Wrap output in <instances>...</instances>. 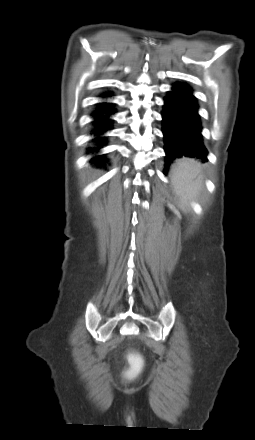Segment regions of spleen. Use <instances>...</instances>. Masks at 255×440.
Instances as JSON below:
<instances>
[{
  "mask_svg": "<svg viewBox=\"0 0 255 440\" xmlns=\"http://www.w3.org/2000/svg\"><path fill=\"white\" fill-rule=\"evenodd\" d=\"M199 173V165L193 159L178 161L172 170V179L176 190L182 196V201L187 202V197L196 193L198 182H194Z\"/></svg>",
  "mask_w": 255,
  "mask_h": 440,
  "instance_id": "3e777b00",
  "label": "spleen"
}]
</instances>
